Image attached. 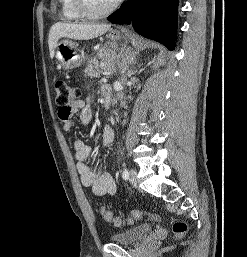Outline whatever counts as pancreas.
<instances>
[{
	"mask_svg": "<svg viewBox=\"0 0 247 257\" xmlns=\"http://www.w3.org/2000/svg\"><path fill=\"white\" fill-rule=\"evenodd\" d=\"M114 70V63L111 60L102 59L99 62L96 58L89 61L85 68V76L90 78H97L102 71Z\"/></svg>",
	"mask_w": 247,
	"mask_h": 257,
	"instance_id": "pancreas-1",
	"label": "pancreas"
}]
</instances>
